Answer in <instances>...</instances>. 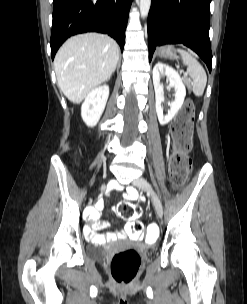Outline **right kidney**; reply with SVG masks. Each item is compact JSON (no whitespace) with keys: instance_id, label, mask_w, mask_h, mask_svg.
Here are the masks:
<instances>
[{"instance_id":"1","label":"right kidney","mask_w":247,"mask_h":304,"mask_svg":"<svg viewBox=\"0 0 247 304\" xmlns=\"http://www.w3.org/2000/svg\"><path fill=\"white\" fill-rule=\"evenodd\" d=\"M109 97V86L104 84L93 89L85 98L81 107V117L87 126H95Z\"/></svg>"}]
</instances>
